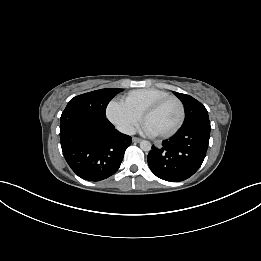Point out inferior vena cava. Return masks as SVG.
Returning <instances> with one entry per match:
<instances>
[{"label": "inferior vena cava", "mask_w": 261, "mask_h": 261, "mask_svg": "<svg viewBox=\"0 0 261 261\" xmlns=\"http://www.w3.org/2000/svg\"><path fill=\"white\" fill-rule=\"evenodd\" d=\"M118 130L121 133L127 134V135H134L136 133V130L133 126H119Z\"/></svg>", "instance_id": "602c4592"}]
</instances>
